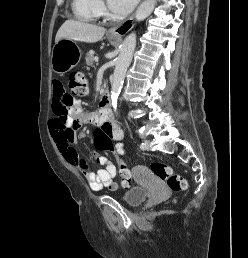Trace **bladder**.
I'll return each mask as SVG.
<instances>
[{"label":"bladder","mask_w":248,"mask_h":258,"mask_svg":"<svg viewBox=\"0 0 248 258\" xmlns=\"http://www.w3.org/2000/svg\"><path fill=\"white\" fill-rule=\"evenodd\" d=\"M147 197V189L139 186L130 188L122 195L123 201L132 207L140 205Z\"/></svg>","instance_id":"bladder-1"}]
</instances>
